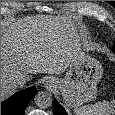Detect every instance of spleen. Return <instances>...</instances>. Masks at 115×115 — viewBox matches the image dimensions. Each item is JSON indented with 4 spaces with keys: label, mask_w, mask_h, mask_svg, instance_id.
I'll use <instances>...</instances> for the list:
<instances>
[{
    "label": "spleen",
    "mask_w": 115,
    "mask_h": 115,
    "mask_svg": "<svg viewBox=\"0 0 115 115\" xmlns=\"http://www.w3.org/2000/svg\"><path fill=\"white\" fill-rule=\"evenodd\" d=\"M115 100L96 102L95 104L85 105L74 110L75 115H111L115 113Z\"/></svg>",
    "instance_id": "1"
}]
</instances>
